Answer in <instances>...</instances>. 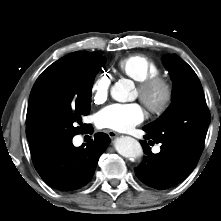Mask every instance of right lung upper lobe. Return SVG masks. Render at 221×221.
<instances>
[{
	"label": "right lung upper lobe",
	"mask_w": 221,
	"mask_h": 221,
	"mask_svg": "<svg viewBox=\"0 0 221 221\" xmlns=\"http://www.w3.org/2000/svg\"><path fill=\"white\" fill-rule=\"evenodd\" d=\"M93 52H82V51H77V52H73L70 53L66 56H64L63 58L59 59L58 61H56L55 63H53L52 65H50L43 73H47L49 71H52L53 69L60 67L62 65L68 64V63H72L75 62L77 60H80L86 56H88L89 54H91Z\"/></svg>",
	"instance_id": "obj_1"
}]
</instances>
